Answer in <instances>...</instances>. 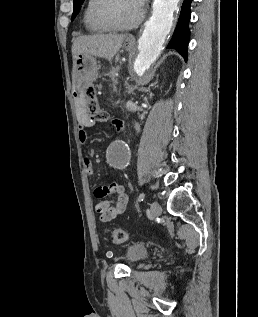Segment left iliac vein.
<instances>
[{
  "label": "left iliac vein",
  "instance_id": "left-iliac-vein-1",
  "mask_svg": "<svg viewBox=\"0 0 258 317\" xmlns=\"http://www.w3.org/2000/svg\"><path fill=\"white\" fill-rule=\"evenodd\" d=\"M152 214L154 217H159L160 216V212H161V206L159 205L158 202H153L152 203Z\"/></svg>",
  "mask_w": 258,
  "mask_h": 317
}]
</instances>
